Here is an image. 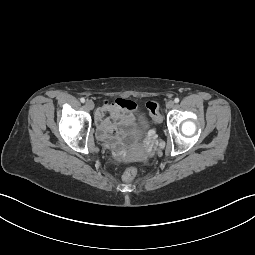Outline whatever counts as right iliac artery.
<instances>
[{"instance_id": "1", "label": "right iliac artery", "mask_w": 255, "mask_h": 255, "mask_svg": "<svg viewBox=\"0 0 255 255\" xmlns=\"http://www.w3.org/2000/svg\"><path fill=\"white\" fill-rule=\"evenodd\" d=\"M80 101H81L82 103H84V102H85V99H84V98H81Z\"/></svg>"}]
</instances>
